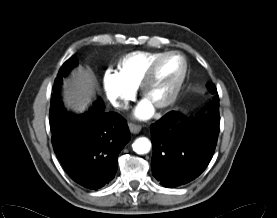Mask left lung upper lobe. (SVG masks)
<instances>
[{
    "label": "left lung upper lobe",
    "mask_w": 277,
    "mask_h": 218,
    "mask_svg": "<svg viewBox=\"0 0 277 218\" xmlns=\"http://www.w3.org/2000/svg\"><path fill=\"white\" fill-rule=\"evenodd\" d=\"M207 88H208V90L210 91L211 94H217L216 87L213 83L207 84ZM215 97L217 98L218 95H215Z\"/></svg>",
    "instance_id": "obj_1"
}]
</instances>
